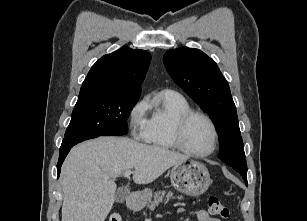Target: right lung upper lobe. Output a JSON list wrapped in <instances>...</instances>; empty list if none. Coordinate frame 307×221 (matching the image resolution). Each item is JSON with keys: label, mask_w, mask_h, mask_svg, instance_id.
Wrapping results in <instances>:
<instances>
[{"label": "right lung upper lobe", "mask_w": 307, "mask_h": 221, "mask_svg": "<svg viewBox=\"0 0 307 221\" xmlns=\"http://www.w3.org/2000/svg\"><path fill=\"white\" fill-rule=\"evenodd\" d=\"M151 60L147 51L123 46L104 55L90 69L78 101L116 94H139ZM77 101V102H78Z\"/></svg>", "instance_id": "1"}]
</instances>
